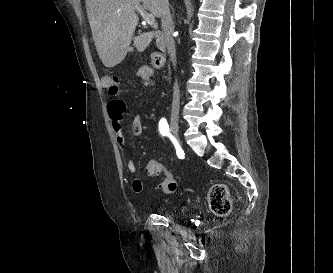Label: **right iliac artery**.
<instances>
[{
  "instance_id": "right-iliac-artery-1",
  "label": "right iliac artery",
  "mask_w": 333,
  "mask_h": 273,
  "mask_svg": "<svg viewBox=\"0 0 333 273\" xmlns=\"http://www.w3.org/2000/svg\"><path fill=\"white\" fill-rule=\"evenodd\" d=\"M159 132L162 136L171 135L169 125H168L167 120L165 118H162L159 121Z\"/></svg>"
}]
</instances>
